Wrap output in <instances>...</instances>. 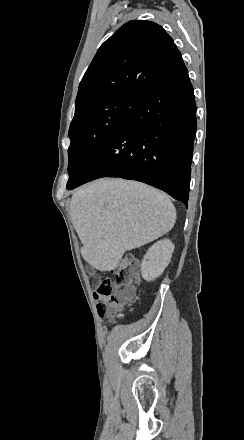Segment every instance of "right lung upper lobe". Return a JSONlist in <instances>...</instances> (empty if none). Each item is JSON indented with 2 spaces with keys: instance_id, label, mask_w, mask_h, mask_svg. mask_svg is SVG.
Segmentation results:
<instances>
[{
  "instance_id": "1",
  "label": "right lung upper lobe",
  "mask_w": 244,
  "mask_h": 440,
  "mask_svg": "<svg viewBox=\"0 0 244 440\" xmlns=\"http://www.w3.org/2000/svg\"><path fill=\"white\" fill-rule=\"evenodd\" d=\"M183 64L180 51L160 25L130 21L97 51L81 80L75 106L118 95L142 97Z\"/></svg>"
}]
</instances>
